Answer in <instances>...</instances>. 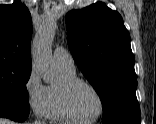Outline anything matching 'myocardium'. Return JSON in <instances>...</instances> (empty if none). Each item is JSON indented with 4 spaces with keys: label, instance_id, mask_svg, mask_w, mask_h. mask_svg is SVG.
Instances as JSON below:
<instances>
[{
    "label": "myocardium",
    "instance_id": "f54148a6",
    "mask_svg": "<svg viewBox=\"0 0 156 124\" xmlns=\"http://www.w3.org/2000/svg\"><path fill=\"white\" fill-rule=\"evenodd\" d=\"M78 85L87 86L95 93V95L98 98L99 111L97 115L91 119L80 118L71 107L70 94L71 91ZM58 93H59L61 108L64 114L67 116V118L72 122L80 123V124H90L99 120L105 111V101L102 94L100 93L98 88L88 80L79 77L64 78L63 81L58 85Z\"/></svg>",
    "mask_w": 156,
    "mask_h": 124
}]
</instances>
